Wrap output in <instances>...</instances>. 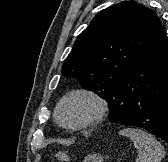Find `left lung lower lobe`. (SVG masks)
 Wrapping results in <instances>:
<instances>
[{
	"instance_id": "1",
	"label": "left lung lower lobe",
	"mask_w": 168,
	"mask_h": 162,
	"mask_svg": "<svg viewBox=\"0 0 168 162\" xmlns=\"http://www.w3.org/2000/svg\"><path fill=\"white\" fill-rule=\"evenodd\" d=\"M113 123L143 128L168 142V40L162 32L108 102Z\"/></svg>"
}]
</instances>
